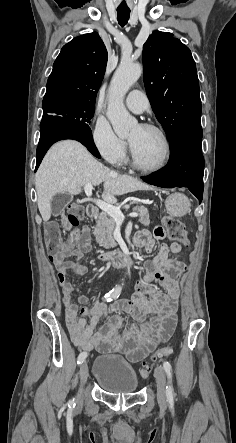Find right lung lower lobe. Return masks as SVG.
<instances>
[{"label": "right lung lower lobe", "instance_id": "98d812e1", "mask_svg": "<svg viewBox=\"0 0 236 443\" xmlns=\"http://www.w3.org/2000/svg\"><path fill=\"white\" fill-rule=\"evenodd\" d=\"M40 129L41 135L36 152L37 163L35 171L51 145L63 139H74L81 142L94 156L100 158L91 131L78 127L69 119L56 115H47L42 118Z\"/></svg>", "mask_w": 236, "mask_h": 443}]
</instances>
